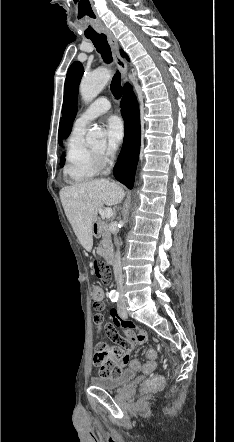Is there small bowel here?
I'll return each instance as SVG.
<instances>
[{"mask_svg": "<svg viewBox=\"0 0 234 442\" xmlns=\"http://www.w3.org/2000/svg\"><path fill=\"white\" fill-rule=\"evenodd\" d=\"M110 316L115 323L112 321L107 322L104 329L101 327L103 320L101 314L98 313L94 315L93 320L94 325L97 327L96 331L98 333L102 332L105 337H110L109 341L111 343H117L122 349L132 351L136 345H141L146 342V333L142 330H138L134 325L126 323L124 319H120L115 309L110 311ZM116 327L121 328L124 336H120V331ZM102 341H105V338H102Z\"/></svg>", "mask_w": 234, "mask_h": 442, "instance_id": "small-bowel-1", "label": "small bowel"}]
</instances>
